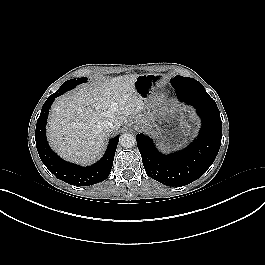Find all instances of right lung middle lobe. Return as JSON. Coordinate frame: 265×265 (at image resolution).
<instances>
[{
    "mask_svg": "<svg viewBox=\"0 0 265 265\" xmlns=\"http://www.w3.org/2000/svg\"><path fill=\"white\" fill-rule=\"evenodd\" d=\"M87 78H78V79H71L64 82L61 87L54 93V95H62L63 93L67 92L68 90L76 87L80 83L86 82Z\"/></svg>",
    "mask_w": 265,
    "mask_h": 265,
    "instance_id": "1",
    "label": "right lung middle lobe"
}]
</instances>
